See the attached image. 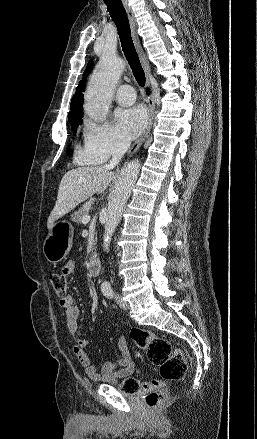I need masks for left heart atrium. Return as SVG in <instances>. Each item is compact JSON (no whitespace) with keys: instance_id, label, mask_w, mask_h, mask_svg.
I'll use <instances>...</instances> for the list:
<instances>
[{"instance_id":"left-heart-atrium-1","label":"left heart atrium","mask_w":257,"mask_h":439,"mask_svg":"<svg viewBox=\"0 0 257 439\" xmlns=\"http://www.w3.org/2000/svg\"><path fill=\"white\" fill-rule=\"evenodd\" d=\"M116 120L127 137H135L146 125L147 111L141 105L118 109Z\"/></svg>"}]
</instances>
